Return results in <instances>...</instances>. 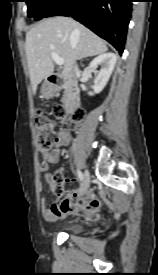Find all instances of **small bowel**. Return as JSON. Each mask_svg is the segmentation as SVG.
<instances>
[{
    "instance_id": "small-bowel-1",
    "label": "small bowel",
    "mask_w": 158,
    "mask_h": 275,
    "mask_svg": "<svg viewBox=\"0 0 158 275\" xmlns=\"http://www.w3.org/2000/svg\"><path fill=\"white\" fill-rule=\"evenodd\" d=\"M72 139L71 131L67 128H61L58 132V138L53 149L44 154L43 162L40 165V171L44 173L45 180L53 188V176L48 172L50 164H57L60 160L62 148L67 146ZM63 172V168L59 169ZM82 188L68 191L66 196L53 202L51 206L47 205L45 197L41 199V209L44 219L53 221L59 217L70 214L90 216L96 213L101 202L94 192L84 195Z\"/></svg>"
}]
</instances>
